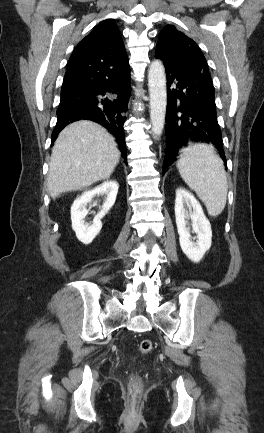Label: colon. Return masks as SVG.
<instances>
[{"label": "colon", "mask_w": 264, "mask_h": 433, "mask_svg": "<svg viewBox=\"0 0 264 433\" xmlns=\"http://www.w3.org/2000/svg\"><path fill=\"white\" fill-rule=\"evenodd\" d=\"M138 349L141 354H148L153 349V343L149 339H144L139 343Z\"/></svg>", "instance_id": "obj_1"}]
</instances>
